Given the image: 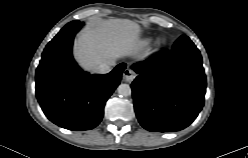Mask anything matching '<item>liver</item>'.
<instances>
[{
	"instance_id": "6515ba94",
	"label": "liver",
	"mask_w": 248,
	"mask_h": 158,
	"mask_svg": "<svg viewBox=\"0 0 248 158\" xmlns=\"http://www.w3.org/2000/svg\"><path fill=\"white\" fill-rule=\"evenodd\" d=\"M140 31V26L128 19L93 23L75 40L74 56L84 69L97 73L102 63L136 54Z\"/></svg>"
}]
</instances>
